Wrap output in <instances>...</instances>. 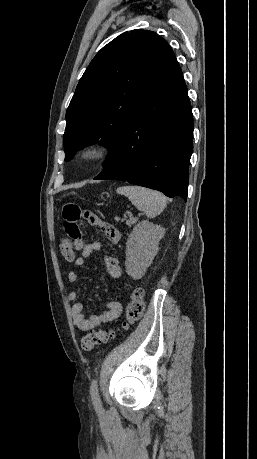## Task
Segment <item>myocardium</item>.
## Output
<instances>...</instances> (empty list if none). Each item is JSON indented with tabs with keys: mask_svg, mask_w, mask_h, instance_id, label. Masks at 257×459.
I'll list each match as a JSON object with an SVG mask.
<instances>
[{
	"mask_svg": "<svg viewBox=\"0 0 257 459\" xmlns=\"http://www.w3.org/2000/svg\"><path fill=\"white\" fill-rule=\"evenodd\" d=\"M110 153V148L104 143H90L78 151L79 160L86 165H93L104 160Z\"/></svg>",
	"mask_w": 257,
	"mask_h": 459,
	"instance_id": "myocardium-1",
	"label": "myocardium"
}]
</instances>
